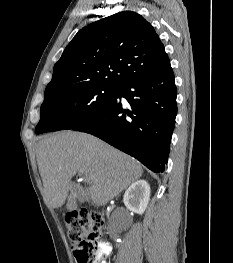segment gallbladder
<instances>
[{
	"label": "gallbladder",
	"mask_w": 233,
	"mask_h": 263,
	"mask_svg": "<svg viewBox=\"0 0 233 263\" xmlns=\"http://www.w3.org/2000/svg\"><path fill=\"white\" fill-rule=\"evenodd\" d=\"M72 192L75 193V197L70 195L68 202H67V210L73 211L77 208V201H76V194H80V190L77 186H72Z\"/></svg>",
	"instance_id": "1"
}]
</instances>
